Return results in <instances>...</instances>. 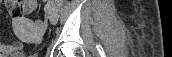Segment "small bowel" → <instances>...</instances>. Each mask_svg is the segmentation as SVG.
<instances>
[{
  "label": "small bowel",
  "instance_id": "obj_1",
  "mask_svg": "<svg viewBox=\"0 0 172 57\" xmlns=\"http://www.w3.org/2000/svg\"><path fill=\"white\" fill-rule=\"evenodd\" d=\"M10 5L12 8L17 7V13L13 16L15 22L24 19V16L32 12L36 7L35 0L14 1ZM24 46L23 41L1 42L0 55H12L20 51Z\"/></svg>",
  "mask_w": 172,
  "mask_h": 57
}]
</instances>
